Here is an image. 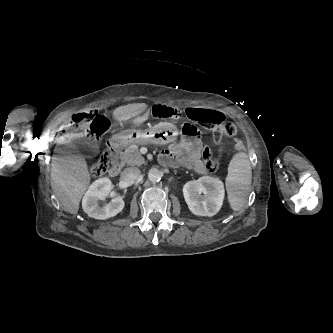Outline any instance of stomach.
Wrapping results in <instances>:
<instances>
[{"label":"stomach","mask_w":333,"mask_h":333,"mask_svg":"<svg viewBox=\"0 0 333 333\" xmlns=\"http://www.w3.org/2000/svg\"><path fill=\"white\" fill-rule=\"evenodd\" d=\"M177 127L168 122H161L147 129L131 128L114 134L110 143L122 148L130 144H168L176 140Z\"/></svg>","instance_id":"0dacf381"}]
</instances>
